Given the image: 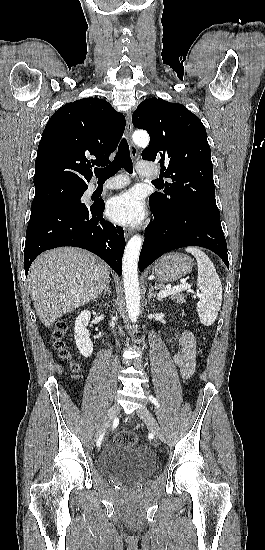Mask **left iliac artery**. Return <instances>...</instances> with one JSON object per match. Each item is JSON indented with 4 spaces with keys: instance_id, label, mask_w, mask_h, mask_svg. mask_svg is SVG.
I'll use <instances>...</instances> for the list:
<instances>
[{
    "instance_id": "44dca946",
    "label": "left iliac artery",
    "mask_w": 265,
    "mask_h": 550,
    "mask_svg": "<svg viewBox=\"0 0 265 550\" xmlns=\"http://www.w3.org/2000/svg\"><path fill=\"white\" fill-rule=\"evenodd\" d=\"M149 399L152 401V403H154V405L158 408L159 407V403L157 401L156 398H154L153 396H150Z\"/></svg>"
}]
</instances>
